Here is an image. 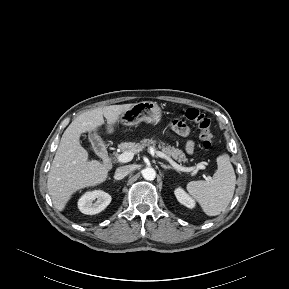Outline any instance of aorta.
Masks as SVG:
<instances>
[{
  "label": "aorta",
  "instance_id": "obj_1",
  "mask_svg": "<svg viewBox=\"0 0 289 289\" xmlns=\"http://www.w3.org/2000/svg\"><path fill=\"white\" fill-rule=\"evenodd\" d=\"M145 180L151 181L156 177V171L152 167H147L142 171Z\"/></svg>",
  "mask_w": 289,
  "mask_h": 289
}]
</instances>
